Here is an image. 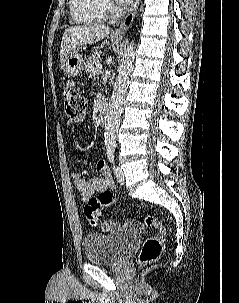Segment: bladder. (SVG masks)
Segmentation results:
<instances>
[{
    "mask_svg": "<svg viewBox=\"0 0 239 303\" xmlns=\"http://www.w3.org/2000/svg\"><path fill=\"white\" fill-rule=\"evenodd\" d=\"M136 238L134 233H88L83 239L86 258L99 265H118Z\"/></svg>",
    "mask_w": 239,
    "mask_h": 303,
    "instance_id": "1",
    "label": "bladder"
}]
</instances>
